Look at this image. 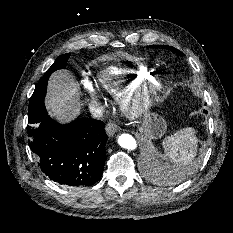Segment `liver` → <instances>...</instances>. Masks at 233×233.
<instances>
[{"label": "liver", "instance_id": "6515ba94", "mask_svg": "<svg viewBox=\"0 0 233 233\" xmlns=\"http://www.w3.org/2000/svg\"><path fill=\"white\" fill-rule=\"evenodd\" d=\"M78 83L68 70L54 72L47 86L45 98L50 115L61 122L75 119L81 113V101Z\"/></svg>", "mask_w": 233, "mask_h": 233}]
</instances>
